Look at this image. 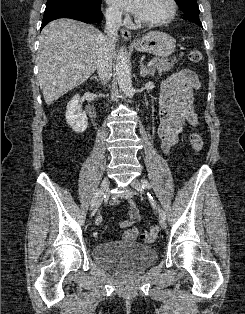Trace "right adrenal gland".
Masks as SVG:
<instances>
[{"label": "right adrenal gland", "instance_id": "obj_1", "mask_svg": "<svg viewBox=\"0 0 245 314\" xmlns=\"http://www.w3.org/2000/svg\"><path fill=\"white\" fill-rule=\"evenodd\" d=\"M91 79H95L97 82H99V80H100L97 76H93V77H91Z\"/></svg>", "mask_w": 245, "mask_h": 314}]
</instances>
